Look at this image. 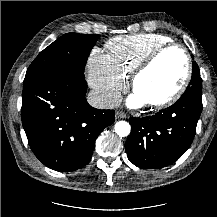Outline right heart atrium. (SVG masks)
I'll return each instance as SVG.
<instances>
[{"instance_id": "d8ad5b80", "label": "right heart atrium", "mask_w": 217, "mask_h": 217, "mask_svg": "<svg viewBox=\"0 0 217 217\" xmlns=\"http://www.w3.org/2000/svg\"><path fill=\"white\" fill-rule=\"evenodd\" d=\"M87 68L88 83L99 102L104 106L116 103L125 87V79L112 68L107 54L99 48L93 49L88 58Z\"/></svg>"}]
</instances>
